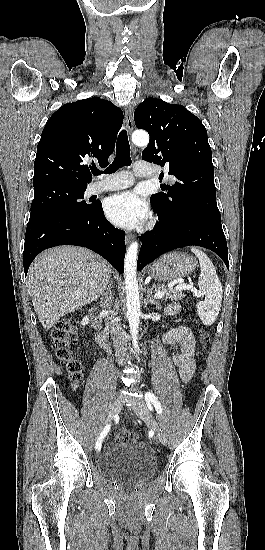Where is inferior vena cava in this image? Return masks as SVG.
I'll list each match as a JSON object with an SVG mask.
<instances>
[{
	"instance_id": "1",
	"label": "inferior vena cava",
	"mask_w": 265,
	"mask_h": 550,
	"mask_svg": "<svg viewBox=\"0 0 265 550\" xmlns=\"http://www.w3.org/2000/svg\"><path fill=\"white\" fill-rule=\"evenodd\" d=\"M108 307V305H107ZM106 325L110 333L115 348V355L119 365L125 364L127 360V334L116 319L114 310H107Z\"/></svg>"
}]
</instances>
